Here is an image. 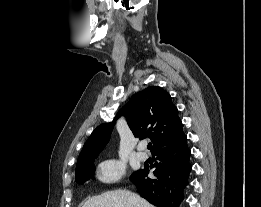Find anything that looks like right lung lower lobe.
<instances>
[{
    "label": "right lung lower lobe",
    "instance_id": "obj_1",
    "mask_svg": "<svg viewBox=\"0 0 261 207\" xmlns=\"http://www.w3.org/2000/svg\"><path fill=\"white\" fill-rule=\"evenodd\" d=\"M152 155L156 157L153 166L155 177L145 178L149 173V166L145 165L130 180L139 194L157 207H179L192 169L189 162L191 151L186 136L170 146L154 151Z\"/></svg>",
    "mask_w": 261,
    "mask_h": 207
}]
</instances>
